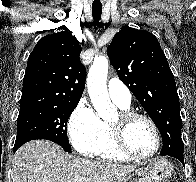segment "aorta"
Returning a JSON list of instances; mask_svg holds the SVG:
<instances>
[{
  "instance_id": "obj_1",
  "label": "aorta",
  "mask_w": 196,
  "mask_h": 182,
  "mask_svg": "<svg viewBox=\"0 0 196 182\" xmlns=\"http://www.w3.org/2000/svg\"><path fill=\"white\" fill-rule=\"evenodd\" d=\"M108 60L104 56L94 58L88 77V93L98 116L103 120L111 119L116 113L115 106L111 103L107 91Z\"/></svg>"
}]
</instances>
